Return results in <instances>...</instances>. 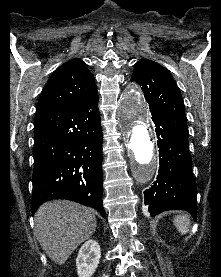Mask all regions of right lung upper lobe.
<instances>
[{
	"label": "right lung upper lobe",
	"mask_w": 221,
	"mask_h": 277,
	"mask_svg": "<svg viewBox=\"0 0 221 277\" xmlns=\"http://www.w3.org/2000/svg\"><path fill=\"white\" fill-rule=\"evenodd\" d=\"M96 95L93 75L82 60L74 59L53 72L41 93L37 110L77 105Z\"/></svg>",
	"instance_id": "1"
}]
</instances>
